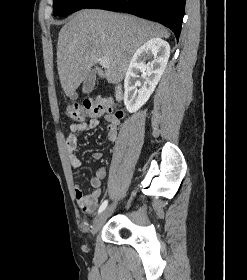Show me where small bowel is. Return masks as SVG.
Returning <instances> with one entry per match:
<instances>
[{"mask_svg": "<svg viewBox=\"0 0 247 280\" xmlns=\"http://www.w3.org/2000/svg\"><path fill=\"white\" fill-rule=\"evenodd\" d=\"M105 120L107 138L110 141H115L117 139L120 118L114 115H106ZM99 125L100 121L96 118L71 124L70 133L66 139V148L68 151L69 161L73 169L77 170L81 166V161L76 154L78 146L77 135L85 130L96 129ZM92 158L94 160H100L102 158V154L100 152H94L92 154ZM106 174L107 171L105 167H101L96 171L95 176L90 181L93 191L89 194H84L80 187L76 188L75 192L77 203L86 213H93L98 207L100 199L103 195L101 182L106 177Z\"/></svg>", "mask_w": 247, "mask_h": 280, "instance_id": "1", "label": "small bowel"}]
</instances>
